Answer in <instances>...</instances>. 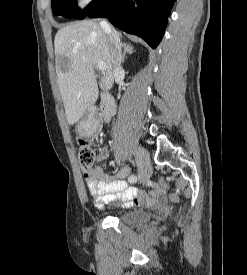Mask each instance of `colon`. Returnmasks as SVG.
<instances>
[{
    "label": "colon",
    "mask_w": 247,
    "mask_h": 275,
    "mask_svg": "<svg viewBox=\"0 0 247 275\" xmlns=\"http://www.w3.org/2000/svg\"><path fill=\"white\" fill-rule=\"evenodd\" d=\"M78 158L82 172L84 174L87 173L95 161V153L91 147L90 141L81 140Z\"/></svg>",
    "instance_id": "obj_1"
}]
</instances>
